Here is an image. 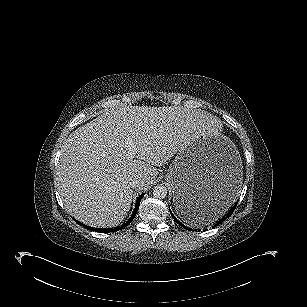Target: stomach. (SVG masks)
Instances as JSON below:
<instances>
[{"instance_id": "0dacf381", "label": "stomach", "mask_w": 307, "mask_h": 307, "mask_svg": "<svg viewBox=\"0 0 307 307\" xmlns=\"http://www.w3.org/2000/svg\"><path fill=\"white\" fill-rule=\"evenodd\" d=\"M242 161L223 135H200L178 149L165 180L182 219L201 211L228 208L242 186Z\"/></svg>"}]
</instances>
